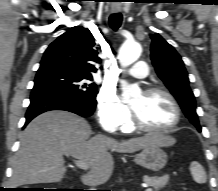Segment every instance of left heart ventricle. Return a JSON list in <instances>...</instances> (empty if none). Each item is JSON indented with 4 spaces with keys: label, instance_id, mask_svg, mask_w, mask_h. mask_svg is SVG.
Here are the masks:
<instances>
[{
    "label": "left heart ventricle",
    "instance_id": "left-heart-ventricle-1",
    "mask_svg": "<svg viewBox=\"0 0 218 191\" xmlns=\"http://www.w3.org/2000/svg\"><path fill=\"white\" fill-rule=\"evenodd\" d=\"M140 121L150 128H165L172 124L175 118L170 101L163 95H145L141 93L131 103Z\"/></svg>",
    "mask_w": 218,
    "mask_h": 191
}]
</instances>
